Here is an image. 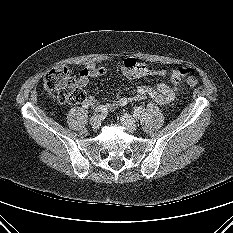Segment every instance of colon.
<instances>
[{"label": "colon", "instance_id": "1", "mask_svg": "<svg viewBox=\"0 0 233 233\" xmlns=\"http://www.w3.org/2000/svg\"><path fill=\"white\" fill-rule=\"evenodd\" d=\"M190 69H181V75L187 76L186 83L189 87L197 86L198 81L189 75ZM44 89L57 97L58 101L67 104H79L85 100L84 91L76 84L70 70L65 66H58L49 70L43 79Z\"/></svg>", "mask_w": 233, "mask_h": 233}]
</instances>
